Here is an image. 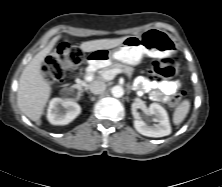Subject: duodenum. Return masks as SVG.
I'll return each mask as SVG.
<instances>
[{"label": "duodenum", "mask_w": 222, "mask_h": 187, "mask_svg": "<svg viewBox=\"0 0 222 187\" xmlns=\"http://www.w3.org/2000/svg\"><path fill=\"white\" fill-rule=\"evenodd\" d=\"M95 65L96 63L94 61H91L86 70H85V74H84V80L82 83H80V87H85L86 83L91 81L94 75V70H95Z\"/></svg>", "instance_id": "1"}]
</instances>
